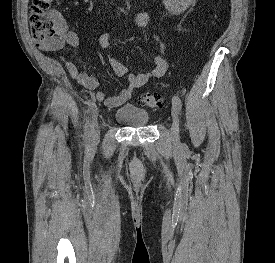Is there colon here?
<instances>
[{"instance_id": "obj_1", "label": "colon", "mask_w": 275, "mask_h": 263, "mask_svg": "<svg viewBox=\"0 0 275 263\" xmlns=\"http://www.w3.org/2000/svg\"><path fill=\"white\" fill-rule=\"evenodd\" d=\"M56 0H32L30 11V27L33 40L39 45L48 43L56 37L58 26L56 19L50 14V9ZM139 103L148 108H159L163 98L157 93H147L139 96Z\"/></svg>"}]
</instances>
